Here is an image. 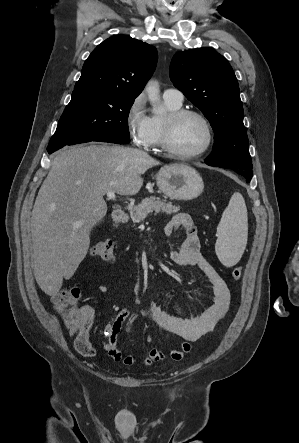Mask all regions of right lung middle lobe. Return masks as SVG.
<instances>
[{
  "label": "right lung middle lobe",
  "instance_id": "dd1d6c3e",
  "mask_svg": "<svg viewBox=\"0 0 299 443\" xmlns=\"http://www.w3.org/2000/svg\"><path fill=\"white\" fill-rule=\"evenodd\" d=\"M134 99L99 90L73 91L49 146L95 136H113L129 143L127 119Z\"/></svg>",
  "mask_w": 299,
  "mask_h": 443
}]
</instances>
